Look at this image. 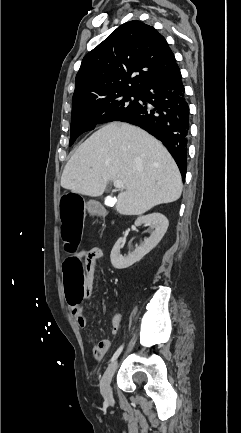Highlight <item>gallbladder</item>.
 I'll list each match as a JSON object with an SVG mask.
<instances>
[{
  "instance_id": "gallbladder-1",
  "label": "gallbladder",
  "mask_w": 241,
  "mask_h": 433,
  "mask_svg": "<svg viewBox=\"0 0 241 433\" xmlns=\"http://www.w3.org/2000/svg\"><path fill=\"white\" fill-rule=\"evenodd\" d=\"M90 212L94 214H105V209L97 201L91 200L88 204Z\"/></svg>"
}]
</instances>
